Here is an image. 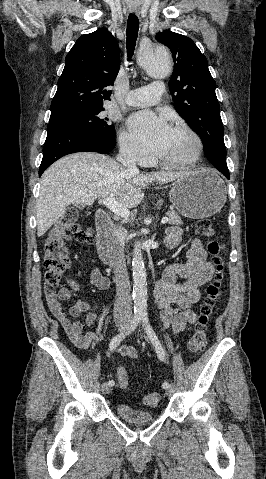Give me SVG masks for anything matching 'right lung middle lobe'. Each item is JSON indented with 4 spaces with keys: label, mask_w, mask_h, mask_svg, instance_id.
I'll return each instance as SVG.
<instances>
[{
    "label": "right lung middle lobe",
    "mask_w": 266,
    "mask_h": 479,
    "mask_svg": "<svg viewBox=\"0 0 266 479\" xmlns=\"http://www.w3.org/2000/svg\"><path fill=\"white\" fill-rule=\"evenodd\" d=\"M103 107L100 108H73L50 115L49 125H62L77 128L96 134L113 137L114 126L108 123V118L102 115Z\"/></svg>",
    "instance_id": "right-lung-middle-lobe-1"
}]
</instances>
